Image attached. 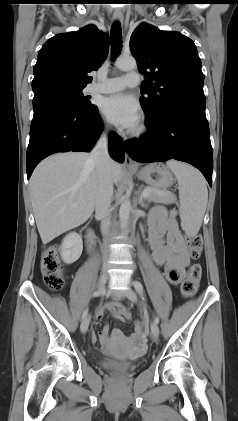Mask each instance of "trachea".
Listing matches in <instances>:
<instances>
[{
	"instance_id": "3493384b",
	"label": "trachea",
	"mask_w": 238,
	"mask_h": 421,
	"mask_svg": "<svg viewBox=\"0 0 238 421\" xmlns=\"http://www.w3.org/2000/svg\"><path fill=\"white\" fill-rule=\"evenodd\" d=\"M122 48V30L119 22H114L111 28L112 58L119 55Z\"/></svg>"
}]
</instances>
